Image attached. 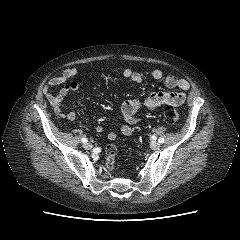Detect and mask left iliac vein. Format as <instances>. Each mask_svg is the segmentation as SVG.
Listing matches in <instances>:
<instances>
[{"label": "left iliac vein", "mask_w": 240, "mask_h": 240, "mask_svg": "<svg viewBox=\"0 0 240 240\" xmlns=\"http://www.w3.org/2000/svg\"><path fill=\"white\" fill-rule=\"evenodd\" d=\"M151 148H152L153 150H158V149L160 148V143H158V142H156V141H153V142L151 143Z\"/></svg>", "instance_id": "left-iliac-vein-1"}]
</instances>
